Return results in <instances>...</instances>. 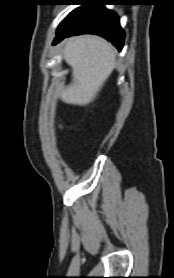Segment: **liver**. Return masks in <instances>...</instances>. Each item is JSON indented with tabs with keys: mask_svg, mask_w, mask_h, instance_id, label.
Listing matches in <instances>:
<instances>
[{
	"mask_svg": "<svg viewBox=\"0 0 174 278\" xmlns=\"http://www.w3.org/2000/svg\"><path fill=\"white\" fill-rule=\"evenodd\" d=\"M63 57L72 68V82L60 91V99L67 104H90L115 67L111 45L98 36H77L66 40Z\"/></svg>",
	"mask_w": 174,
	"mask_h": 278,
	"instance_id": "6515ba94",
	"label": "liver"
}]
</instances>
